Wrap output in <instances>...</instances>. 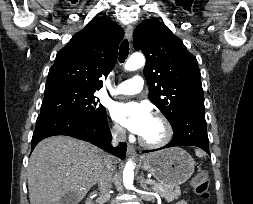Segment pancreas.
Instances as JSON below:
<instances>
[{"instance_id":"pancreas-1","label":"pancreas","mask_w":253,"mask_h":204,"mask_svg":"<svg viewBox=\"0 0 253 204\" xmlns=\"http://www.w3.org/2000/svg\"><path fill=\"white\" fill-rule=\"evenodd\" d=\"M152 190L158 193L161 197L165 198L167 201H172L174 199H178L181 195L180 189L177 188H168L159 183H155L152 185Z\"/></svg>"}]
</instances>
